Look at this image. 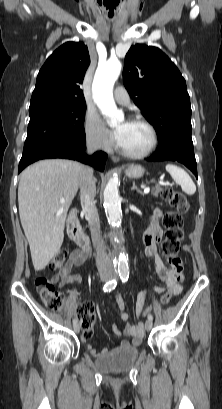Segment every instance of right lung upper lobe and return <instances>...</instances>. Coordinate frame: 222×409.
<instances>
[{"label":"right lung upper lobe","mask_w":222,"mask_h":409,"mask_svg":"<svg viewBox=\"0 0 222 409\" xmlns=\"http://www.w3.org/2000/svg\"><path fill=\"white\" fill-rule=\"evenodd\" d=\"M90 64L82 42H66L46 60L37 76L30 108L46 104L85 102L80 84Z\"/></svg>","instance_id":"1"}]
</instances>
